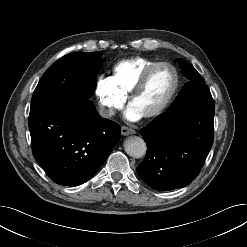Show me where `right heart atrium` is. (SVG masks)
I'll return each mask as SVG.
<instances>
[{"instance_id": "obj_1", "label": "right heart atrium", "mask_w": 247, "mask_h": 247, "mask_svg": "<svg viewBox=\"0 0 247 247\" xmlns=\"http://www.w3.org/2000/svg\"><path fill=\"white\" fill-rule=\"evenodd\" d=\"M98 109L101 116L110 118L121 109L126 97L121 95L111 84L108 77L101 76L97 79L94 88Z\"/></svg>"}]
</instances>
